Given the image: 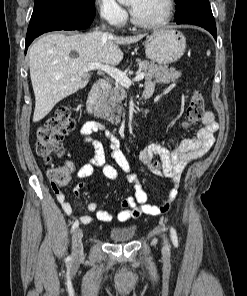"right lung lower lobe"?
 Segmentation results:
<instances>
[{
	"label": "right lung lower lobe",
	"mask_w": 247,
	"mask_h": 296,
	"mask_svg": "<svg viewBox=\"0 0 247 296\" xmlns=\"http://www.w3.org/2000/svg\"><path fill=\"white\" fill-rule=\"evenodd\" d=\"M95 13L71 15L63 6L53 8L35 18H31L26 35V48L39 35L56 30H79L90 26Z\"/></svg>",
	"instance_id": "obj_1"
}]
</instances>
